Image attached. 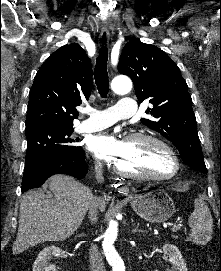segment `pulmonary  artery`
<instances>
[{"label":"pulmonary artery","mask_w":221,"mask_h":271,"mask_svg":"<svg viewBox=\"0 0 221 271\" xmlns=\"http://www.w3.org/2000/svg\"><path fill=\"white\" fill-rule=\"evenodd\" d=\"M119 101L121 107H108V112H89L88 121L81 122V132H97L112 126L113 122H124V117H136L137 102H132V98H120Z\"/></svg>","instance_id":"pulmonary-artery-1"}]
</instances>
